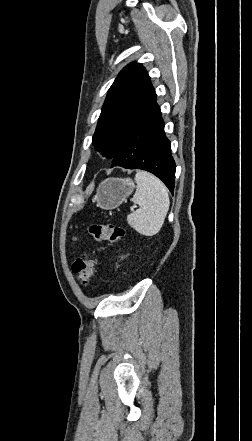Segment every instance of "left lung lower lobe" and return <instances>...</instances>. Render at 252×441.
<instances>
[{
  "label": "left lung lower lobe",
  "instance_id": "left-lung-lower-lobe-1",
  "mask_svg": "<svg viewBox=\"0 0 252 441\" xmlns=\"http://www.w3.org/2000/svg\"><path fill=\"white\" fill-rule=\"evenodd\" d=\"M112 166L151 172L173 193L176 165L171 156L170 141L165 136L154 88L113 157Z\"/></svg>",
  "mask_w": 252,
  "mask_h": 441
}]
</instances>
